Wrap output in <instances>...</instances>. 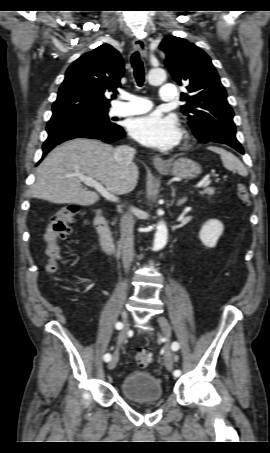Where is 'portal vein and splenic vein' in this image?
I'll use <instances>...</instances> for the list:
<instances>
[{"label": "portal vein and splenic vein", "mask_w": 270, "mask_h": 453, "mask_svg": "<svg viewBox=\"0 0 270 453\" xmlns=\"http://www.w3.org/2000/svg\"><path fill=\"white\" fill-rule=\"evenodd\" d=\"M75 176H77L82 182H84V184H86L87 186H90L92 188H94L97 192H99L106 200H109V201H112V202H117L118 201V198L113 195L112 193L108 192L100 182L92 179V178H89V177H86V176H83L81 174H75ZM211 183V180L209 178V176H206L200 183V187L201 188H206L207 186H209Z\"/></svg>", "instance_id": "portal-vein-and-splenic-vein-1"}]
</instances>
